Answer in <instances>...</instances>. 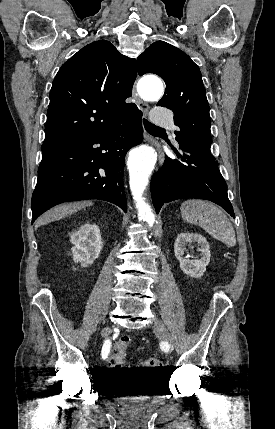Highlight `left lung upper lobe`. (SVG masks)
Here are the masks:
<instances>
[{
	"label": "left lung upper lobe",
	"mask_w": 275,
	"mask_h": 429,
	"mask_svg": "<svg viewBox=\"0 0 275 429\" xmlns=\"http://www.w3.org/2000/svg\"><path fill=\"white\" fill-rule=\"evenodd\" d=\"M139 75L155 73L166 84L165 94L158 102L173 110L179 127L176 141L199 142L211 147L209 105L199 67L180 49L164 42L151 44L137 59Z\"/></svg>",
	"instance_id": "1"
}]
</instances>
